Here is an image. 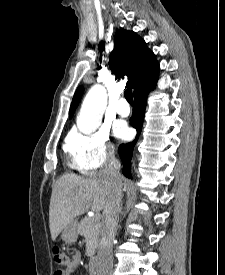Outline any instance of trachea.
Instances as JSON below:
<instances>
[{
  "label": "trachea",
  "mask_w": 225,
  "mask_h": 275,
  "mask_svg": "<svg viewBox=\"0 0 225 275\" xmlns=\"http://www.w3.org/2000/svg\"><path fill=\"white\" fill-rule=\"evenodd\" d=\"M124 96H125L126 100L129 102V104H131V105L134 104L133 95H132V90L131 89L125 90Z\"/></svg>",
  "instance_id": "obj_1"
}]
</instances>
